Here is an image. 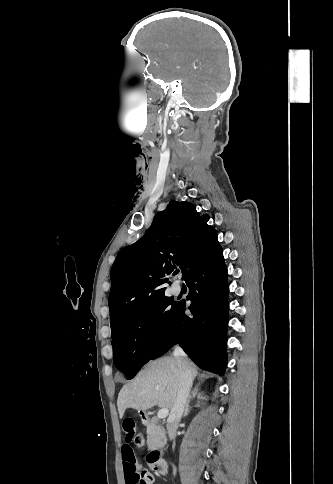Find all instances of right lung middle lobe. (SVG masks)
<instances>
[{
	"label": "right lung middle lobe",
	"mask_w": 333,
	"mask_h": 484,
	"mask_svg": "<svg viewBox=\"0 0 333 484\" xmlns=\"http://www.w3.org/2000/svg\"><path fill=\"white\" fill-rule=\"evenodd\" d=\"M178 310L179 304L164 295L133 311L112 330L113 360L127 379L152 359Z\"/></svg>",
	"instance_id": "right-lung-middle-lobe-1"
}]
</instances>
